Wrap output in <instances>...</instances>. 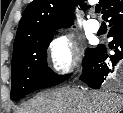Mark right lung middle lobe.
<instances>
[{"label": "right lung middle lobe", "instance_id": "1", "mask_svg": "<svg viewBox=\"0 0 123 113\" xmlns=\"http://www.w3.org/2000/svg\"><path fill=\"white\" fill-rule=\"evenodd\" d=\"M54 34L24 42L13 49L11 66V99L18 101L27 94L45 87L55 86L70 75L61 76L47 67L46 50ZM93 49L85 53L83 66Z\"/></svg>", "mask_w": 123, "mask_h": 113}]
</instances>
